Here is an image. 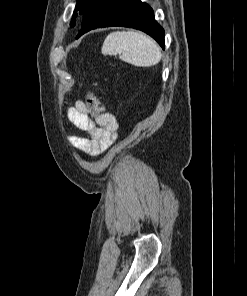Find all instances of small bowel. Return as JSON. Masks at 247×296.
<instances>
[{"label":"small bowel","instance_id":"1","mask_svg":"<svg viewBox=\"0 0 247 296\" xmlns=\"http://www.w3.org/2000/svg\"><path fill=\"white\" fill-rule=\"evenodd\" d=\"M69 120L88 138L69 135L70 144L78 151L98 155L105 151L117 138L118 124L111 113L95 114L78 100L67 109Z\"/></svg>","mask_w":247,"mask_h":296}]
</instances>
